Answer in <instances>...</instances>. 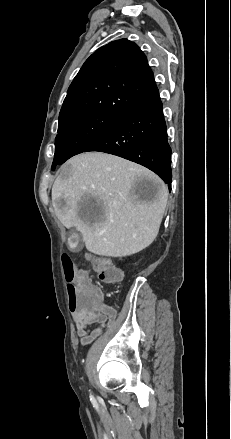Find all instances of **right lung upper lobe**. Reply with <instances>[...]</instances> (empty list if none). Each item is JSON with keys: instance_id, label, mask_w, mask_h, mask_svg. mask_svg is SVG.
<instances>
[{"instance_id": "cb5924a9", "label": "right lung upper lobe", "mask_w": 231, "mask_h": 439, "mask_svg": "<svg viewBox=\"0 0 231 439\" xmlns=\"http://www.w3.org/2000/svg\"><path fill=\"white\" fill-rule=\"evenodd\" d=\"M157 95L146 56L135 43L120 39L86 60L68 89L59 118L93 110L124 116Z\"/></svg>"}]
</instances>
